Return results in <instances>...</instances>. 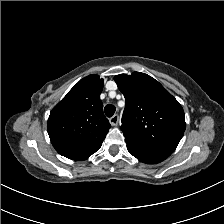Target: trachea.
<instances>
[{
  "mask_svg": "<svg viewBox=\"0 0 224 224\" xmlns=\"http://www.w3.org/2000/svg\"><path fill=\"white\" fill-rule=\"evenodd\" d=\"M115 111H116V108H115L114 105H106L105 108H104V112H105L107 117L113 116Z\"/></svg>",
  "mask_w": 224,
  "mask_h": 224,
  "instance_id": "trachea-1",
  "label": "trachea"
}]
</instances>
